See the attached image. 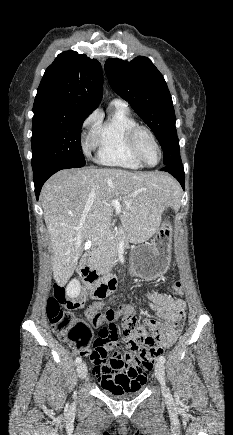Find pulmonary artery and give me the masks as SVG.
Instances as JSON below:
<instances>
[{"label": "pulmonary artery", "mask_w": 233, "mask_h": 435, "mask_svg": "<svg viewBox=\"0 0 233 435\" xmlns=\"http://www.w3.org/2000/svg\"><path fill=\"white\" fill-rule=\"evenodd\" d=\"M113 103L116 104V105H121V106H125L126 107V103L123 100H121V99H114Z\"/></svg>", "instance_id": "1"}]
</instances>
